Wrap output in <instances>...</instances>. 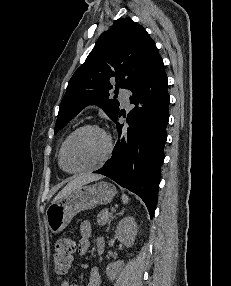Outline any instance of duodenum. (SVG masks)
<instances>
[{"label": "duodenum", "mask_w": 231, "mask_h": 286, "mask_svg": "<svg viewBox=\"0 0 231 286\" xmlns=\"http://www.w3.org/2000/svg\"><path fill=\"white\" fill-rule=\"evenodd\" d=\"M98 248H99V251L101 252L102 249H103V243H102V242H100V243L98 244Z\"/></svg>", "instance_id": "1"}]
</instances>
